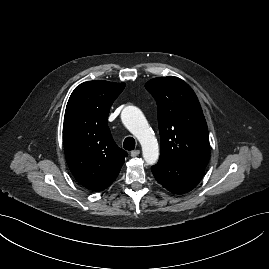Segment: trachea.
<instances>
[{
  "mask_svg": "<svg viewBox=\"0 0 269 269\" xmlns=\"http://www.w3.org/2000/svg\"><path fill=\"white\" fill-rule=\"evenodd\" d=\"M123 147L126 150H133L135 148V140L133 137H127L123 142Z\"/></svg>",
  "mask_w": 269,
  "mask_h": 269,
  "instance_id": "3493384b",
  "label": "trachea"
}]
</instances>
